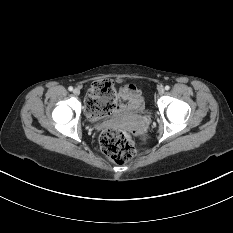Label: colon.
Returning a JSON list of instances; mask_svg holds the SVG:
<instances>
[{
	"label": "colon",
	"mask_w": 233,
	"mask_h": 233,
	"mask_svg": "<svg viewBox=\"0 0 233 233\" xmlns=\"http://www.w3.org/2000/svg\"><path fill=\"white\" fill-rule=\"evenodd\" d=\"M117 108L116 90L112 82L100 80L93 84L86 101V109L91 118H101ZM100 145L103 153L112 161L123 164L135 155V145L131 135L119 128L102 132Z\"/></svg>",
	"instance_id": "colon-1"
}]
</instances>
